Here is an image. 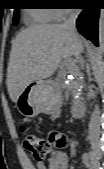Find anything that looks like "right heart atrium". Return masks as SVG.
<instances>
[{
	"mask_svg": "<svg viewBox=\"0 0 104 169\" xmlns=\"http://www.w3.org/2000/svg\"><path fill=\"white\" fill-rule=\"evenodd\" d=\"M55 10V17L56 20L58 21H62L67 19L70 15L73 14V9H69V8H60V9H54Z\"/></svg>",
	"mask_w": 104,
	"mask_h": 169,
	"instance_id": "d8ad5b80",
	"label": "right heart atrium"
}]
</instances>
